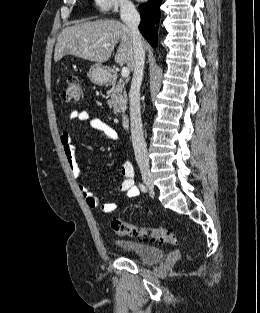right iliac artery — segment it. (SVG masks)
Masks as SVG:
<instances>
[{"label":"right iliac artery","instance_id":"right-iliac-artery-1","mask_svg":"<svg viewBox=\"0 0 260 313\" xmlns=\"http://www.w3.org/2000/svg\"><path fill=\"white\" fill-rule=\"evenodd\" d=\"M139 187H140V189L143 191V192H146L147 191V188H146V186L144 185V184H139Z\"/></svg>","mask_w":260,"mask_h":313}]
</instances>
